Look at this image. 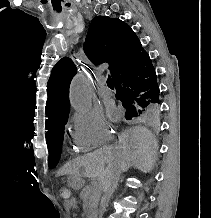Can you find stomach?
I'll return each mask as SVG.
<instances>
[{"label":"stomach","instance_id":"stomach-1","mask_svg":"<svg viewBox=\"0 0 211 218\" xmlns=\"http://www.w3.org/2000/svg\"><path fill=\"white\" fill-rule=\"evenodd\" d=\"M69 186L74 189H80L84 186V180L78 174H71L68 178Z\"/></svg>","mask_w":211,"mask_h":218}]
</instances>
